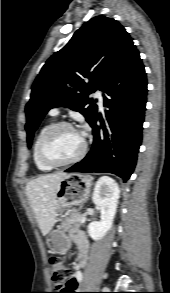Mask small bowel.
Segmentation results:
<instances>
[{"label":"small bowel","mask_w":170,"mask_h":293,"mask_svg":"<svg viewBox=\"0 0 170 293\" xmlns=\"http://www.w3.org/2000/svg\"><path fill=\"white\" fill-rule=\"evenodd\" d=\"M73 242L78 249V265H77V277H81V272L86 267L89 243L86 235L81 231H76L71 234Z\"/></svg>","instance_id":"c3829d8e"}]
</instances>
